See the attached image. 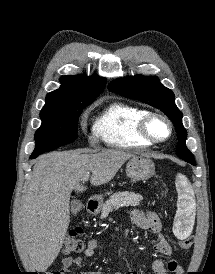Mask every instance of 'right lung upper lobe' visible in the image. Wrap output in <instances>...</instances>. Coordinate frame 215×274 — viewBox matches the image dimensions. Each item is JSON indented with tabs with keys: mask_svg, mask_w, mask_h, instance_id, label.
Segmentation results:
<instances>
[{
	"mask_svg": "<svg viewBox=\"0 0 215 274\" xmlns=\"http://www.w3.org/2000/svg\"><path fill=\"white\" fill-rule=\"evenodd\" d=\"M61 86L58 90L46 96V103L67 102L73 105L92 103L103 91L106 79L98 75H68L60 78Z\"/></svg>",
	"mask_w": 215,
	"mask_h": 274,
	"instance_id": "cb5924a9",
	"label": "right lung upper lobe"
}]
</instances>
